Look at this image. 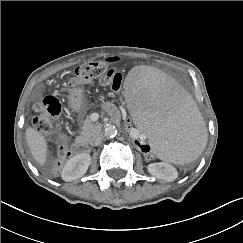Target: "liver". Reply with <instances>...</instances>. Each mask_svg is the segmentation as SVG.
I'll list each match as a JSON object with an SVG mask.
<instances>
[{"instance_id":"6515ba94","label":"liver","mask_w":243,"mask_h":243,"mask_svg":"<svg viewBox=\"0 0 243 243\" xmlns=\"http://www.w3.org/2000/svg\"><path fill=\"white\" fill-rule=\"evenodd\" d=\"M25 138L35 161L44 166L47 160L48 145L45 137L32 127H28Z\"/></svg>"}]
</instances>
